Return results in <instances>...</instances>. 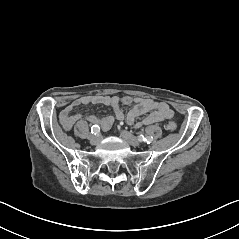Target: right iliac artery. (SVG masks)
Returning a JSON list of instances; mask_svg holds the SVG:
<instances>
[{"mask_svg":"<svg viewBox=\"0 0 239 239\" xmlns=\"http://www.w3.org/2000/svg\"><path fill=\"white\" fill-rule=\"evenodd\" d=\"M91 133L94 134V135H99L100 133V128L98 125H93L91 127Z\"/></svg>","mask_w":239,"mask_h":239,"instance_id":"right-iliac-artery-1","label":"right iliac artery"}]
</instances>
